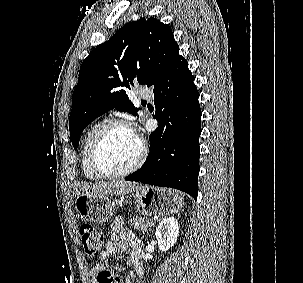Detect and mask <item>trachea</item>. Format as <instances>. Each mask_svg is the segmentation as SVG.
I'll use <instances>...</instances> for the list:
<instances>
[{
	"instance_id": "3493384b",
	"label": "trachea",
	"mask_w": 303,
	"mask_h": 283,
	"mask_svg": "<svg viewBox=\"0 0 303 283\" xmlns=\"http://www.w3.org/2000/svg\"><path fill=\"white\" fill-rule=\"evenodd\" d=\"M142 103H146V101H142Z\"/></svg>"
}]
</instances>
